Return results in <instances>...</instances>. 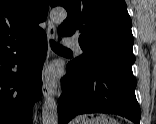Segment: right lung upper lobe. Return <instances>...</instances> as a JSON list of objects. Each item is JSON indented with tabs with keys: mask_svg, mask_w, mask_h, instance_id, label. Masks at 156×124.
Returning <instances> with one entry per match:
<instances>
[{
	"mask_svg": "<svg viewBox=\"0 0 156 124\" xmlns=\"http://www.w3.org/2000/svg\"><path fill=\"white\" fill-rule=\"evenodd\" d=\"M48 0H0V45L32 38L48 13Z\"/></svg>",
	"mask_w": 156,
	"mask_h": 124,
	"instance_id": "obj_1",
	"label": "right lung upper lobe"
}]
</instances>
